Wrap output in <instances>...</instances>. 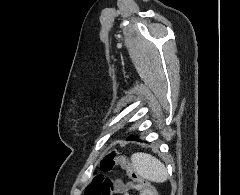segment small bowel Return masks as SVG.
<instances>
[{
	"label": "small bowel",
	"mask_w": 240,
	"mask_h": 195,
	"mask_svg": "<svg viewBox=\"0 0 240 195\" xmlns=\"http://www.w3.org/2000/svg\"><path fill=\"white\" fill-rule=\"evenodd\" d=\"M119 181V180H116ZM125 193H121V195H131V191H138L139 195H148L146 193V188H150V186H134L133 182L124 183Z\"/></svg>",
	"instance_id": "c3829d8e"
}]
</instances>
